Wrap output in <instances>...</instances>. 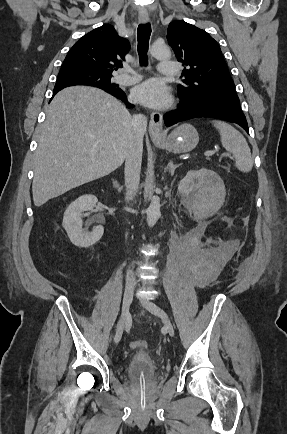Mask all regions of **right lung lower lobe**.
<instances>
[{"label": "right lung lower lobe", "mask_w": 287, "mask_h": 434, "mask_svg": "<svg viewBox=\"0 0 287 434\" xmlns=\"http://www.w3.org/2000/svg\"><path fill=\"white\" fill-rule=\"evenodd\" d=\"M64 87H61V88H59L58 90H53V96L58 92V91H60L61 89H63ZM106 92H108L109 94H111V95H113L114 97H116V98H118V99H120L121 101H123L125 104H126V106L128 107V108H132V107H134V105H132V104H130L128 101H127V97H126V94L121 90V89H114V90H105Z\"/></svg>", "instance_id": "1"}]
</instances>
